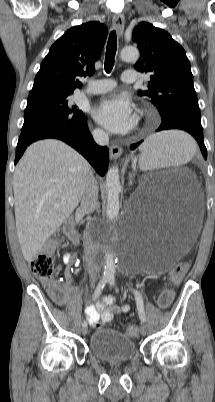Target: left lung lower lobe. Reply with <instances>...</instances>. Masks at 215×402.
<instances>
[{
    "label": "left lung lower lobe",
    "mask_w": 215,
    "mask_h": 402,
    "mask_svg": "<svg viewBox=\"0 0 215 402\" xmlns=\"http://www.w3.org/2000/svg\"><path fill=\"white\" fill-rule=\"evenodd\" d=\"M168 129H181L190 133L198 142L204 158L207 159V150L204 145L203 130L200 122L179 116L170 117L167 119H162V122L156 131L159 132ZM141 142L142 141L131 145L130 149L134 150L141 144Z\"/></svg>",
    "instance_id": "left-lung-lower-lobe-1"
}]
</instances>
